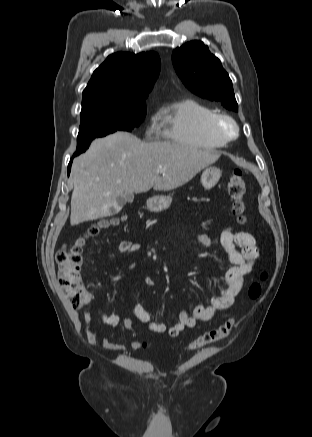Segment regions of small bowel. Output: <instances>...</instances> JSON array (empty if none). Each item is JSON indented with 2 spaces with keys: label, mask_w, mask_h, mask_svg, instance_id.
<instances>
[{
  "label": "small bowel",
  "mask_w": 312,
  "mask_h": 437,
  "mask_svg": "<svg viewBox=\"0 0 312 437\" xmlns=\"http://www.w3.org/2000/svg\"><path fill=\"white\" fill-rule=\"evenodd\" d=\"M195 245L210 247L213 245L212 239L206 234H198L192 237ZM220 244L226 251L232 266L228 269L224 277L225 287L221 293L211 300L207 306L197 305L193 312L188 314L181 311L178 316V322L167 328L163 323L154 321L150 314L140 303L132 306L133 314L143 323L147 329L154 333L167 332L171 337H177L184 329L193 328L198 321H209L217 311L225 310L231 307L236 296L241 290L243 278L250 273L255 262L260 256L255 239L248 232L235 231L232 227H227L220 236ZM142 249V244L131 240H123L118 245L120 253H133ZM142 283L152 287L155 285L154 280L149 277H143ZM93 298L89 296V300ZM84 321L86 324V339L93 346H102L111 351H124L126 347L122 344L109 341L105 337L99 338L92 329V318L89 311L84 312ZM101 321L109 326H118L121 322L131 331L136 328L127 317H120L117 314H103ZM144 346L143 343L132 341L130 347L139 349Z\"/></svg>",
  "instance_id": "1"
}]
</instances>
